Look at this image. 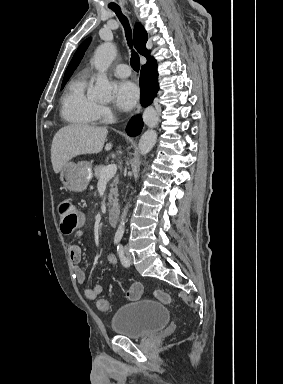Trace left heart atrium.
Instances as JSON below:
<instances>
[{
	"instance_id": "1",
	"label": "left heart atrium",
	"mask_w": 283,
	"mask_h": 384,
	"mask_svg": "<svg viewBox=\"0 0 283 384\" xmlns=\"http://www.w3.org/2000/svg\"><path fill=\"white\" fill-rule=\"evenodd\" d=\"M139 98V91L137 86L126 80L115 83L114 99L117 106L124 110H131L137 103Z\"/></svg>"
}]
</instances>
